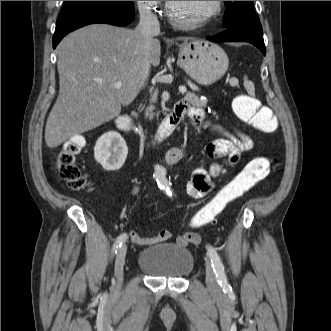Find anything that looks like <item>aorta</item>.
<instances>
[{
  "instance_id": "762f6f07",
  "label": "aorta",
  "mask_w": 331,
  "mask_h": 331,
  "mask_svg": "<svg viewBox=\"0 0 331 331\" xmlns=\"http://www.w3.org/2000/svg\"><path fill=\"white\" fill-rule=\"evenodd\" d=\"M164 173H165V171H164V169L162 167L156 166V168H155V177L156 178L163 177L164 176Z\"/></svg>"
}]
</instances>
